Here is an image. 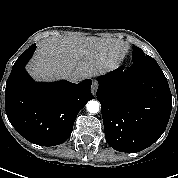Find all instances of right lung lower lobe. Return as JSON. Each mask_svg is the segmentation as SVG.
Masks as SVG:
<instances>
[{"label": "right lung lower lobe", "instance_id": "obj_1", "mask_svg": "<svg viewBox=\"0 0 178 178\" xmlns=\"http://www.w3.org/2000/svg\"><path fill=\"white\" fill-rule=\"evenodd\" d=\"M35 49L36 45H31L12 67L6 82L5 110L12 126L26 140L55 146L70 137L78 112L94 98L92 81L35 82L25 70Z\"/></svg>", "mask_w": 178, "mask_h": 178}]
</instances>
